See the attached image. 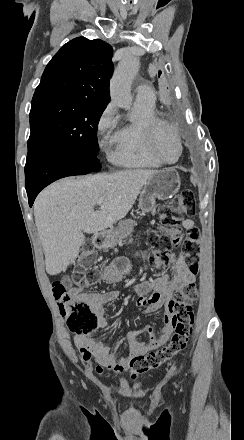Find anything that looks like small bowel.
Listing matches in <instances>:
<instances>
[{
  "label": "small bowel",
  "mask_w": 244,
  "mask_h": 440,
  "mask_svg": "<svg viewBox=\"0 0 244 440\" xmlns=\"http://www.w3.org/2000/svg\"><path fill=\"white\" fill-rule=\"evenodd\" d=\"M194 225V221L191 219L184 220L182 224L183 228L187 230ZM168 264L171 271L170 275H163L154 280L143 281L134 287V292L138 296V305L145 307L146 313L152 314L164 308V325L159 333L156 334L150 325H143L131 332L126 341L128 353L121 356L118 355L120 343L111 346L90 335L74 336V343L81 359L95 369L97 373L104 374L105 376L123 374L130 368L133 353L150 352L168 341L173 331V295L183 286L194 284L196 280V273L188 268L183 253H169ZM130 269L131 264L129 260L124 257H118L103 269L100 279L108 284H116L123 279ZM70 294L76 300H84L89 303L93 312L98 316V326L106 327L108 326V321L104 316V305L116 300L120 292L117 290L85 292L83 286L76 285L70 289ZM139 332L147 333L150 337L149 340L147 342H137L135 338ZM92 360H95L96 364Z\"/></svg>",
  "instance_id": "obj_1"
}]
</instances>
